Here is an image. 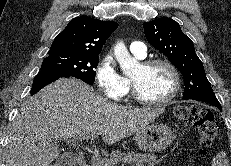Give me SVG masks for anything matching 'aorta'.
Instances as JSON below:
<instances>
[{"instance_id": "1", "label": "aorta", "mask_w": 231, "mask_h": 166, "mask_svg": "<svg viewBox=\"0 0 231 166\" xmlns=\"http://www.w3.org/2000/svg\"><path fill=\"white\" fill-rule=\"evenodd\" d=\"M114 55L125 75L132 74L140 67V63L130 55L123 42H118L115 45Z\"/></svg>"}]
</instances>
